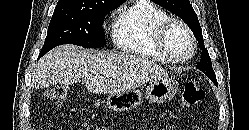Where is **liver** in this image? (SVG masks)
I'll return each mask as SVG.
<instances>
[{
    "label": "liver",
    "mask_w": 249,
    "mask_h": 130,
    "mask_svg": "<svg viewBox=\"0 0 249 130\" xmlns=\"http://www.w3.org/2000/svg\"><path fill=\"white\" fill-rule=\"evenodd\" d=\"M167 76L160 65L144 57L62 45L39 60L31 85L38 89L82 80L89 93L114 94Z\"/></svg>",
    "instance_id": "obj_1"
}]
</instances>
